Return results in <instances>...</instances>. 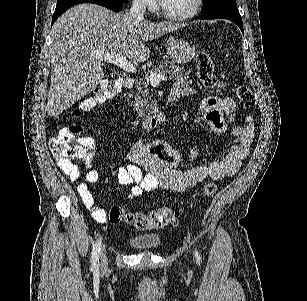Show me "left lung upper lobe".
Returning a JSON list of instances; mask_svg holds the SVG:
<instances>
[{
    "label": "left lung upper lobe",
    "mask_w": 307,
    "mask_h": 301,
    "mask_svg": "<svg viewBox=\"0 0 307 301\" xmlns=\"http://www.w3.org/2000/svg\"><path fill=\"white\" fill-rule=\"evenodd\" d=\"M203 18L242 19L235 0H203Z\"/></svg>",
    "instance_id": "1"
}]
</instances>
